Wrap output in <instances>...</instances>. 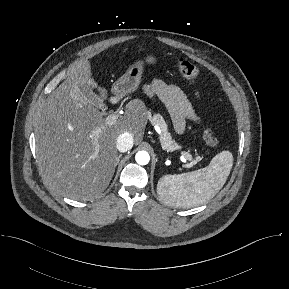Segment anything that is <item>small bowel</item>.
Masks as SVG:
<instances>
[{
	"mask_svg": "<svg viewBox=\"0 0 289 289\" xmlns=\"http://www.w3.org/2000/svg\"><path fill=\"white\" fill-rule=\"evenodd\" d=\"M145 92L148 96L158 98L163 102L171 116L174 129L178 133H182L185 130L187 121L197 124L201 123V117L196 113L185 93L177 85L154 79L146 86ZM194 97L197 101L200 100L198 90H195Z\"/></svg>",
	"mask_w": 289,
	"mask_h": 289,
	"instance_id": "obj_1",
	"label": "small bowel"
}]
</instances>
